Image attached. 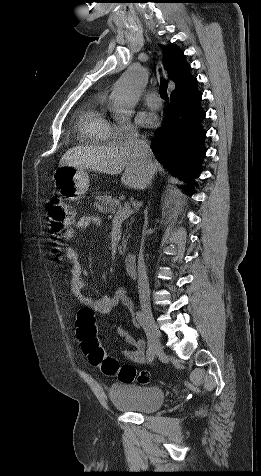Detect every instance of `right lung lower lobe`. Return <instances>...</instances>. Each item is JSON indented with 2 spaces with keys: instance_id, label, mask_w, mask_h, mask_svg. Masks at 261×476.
I'll use <instances>...</instances> for the list:
<instances>
[{
  "instance_id": "right-lung-lower-lobe-1",
  "label": "right lung lower lobe",
  "mask_w": 261,
  "mask_h": 476,
  "mask_svg": "<svg viewBox=\"0 0 261 476\" xmlns=\"http://www.w3.org/2000/svg\"><path fill=\"white\" fill-rule=\"evenodd\" d=\"M202 93L197 79L192 78L170 95V104L162 126L155 130L151 148L167 169L190 186L200 173L206 148L203 121Z\"/></svg>"
}]
</instances>
